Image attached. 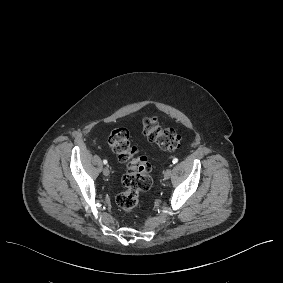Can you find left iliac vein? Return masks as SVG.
I'll use <instances>...</instances> for the list:
<instances>
[{"mask_svg":"<svg viewBox=\"0 0 283 283\" xmlns=\"http://www.w3.org/2000/svg\"><path fill=\"white\" fill-rule=\"evenodd\" d=\"M172 175V170L171 169H167L165 172H164V179H169Z\"/></svg>","mask_w":283,"mask_h":283,"instance_id":"obj_1","label":"left iliac vein"}]
</instances>
